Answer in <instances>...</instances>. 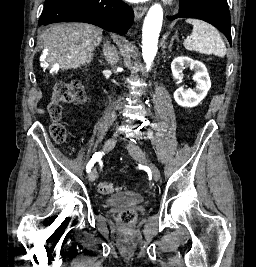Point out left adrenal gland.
Returning <instances> with one entry per match:
<instances>
[{"label":"left adrenal gland","instance_id":"a2214340","mask_svg":"<svg viewBox=\"0 0 256 267\" xmlns=\"http://www.w3.org/2000/svg\"><path fill=\"white\" fill-rule=\"evenodd\" d=\"M174 40H178L177 34H174V36H172L169 48H171V46H173Z\"/></svg>","mask_w":256,"mask_h":267}]
</instances>
